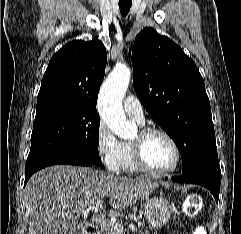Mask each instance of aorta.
<instances>
[{
    "mask_svg": "<svg viewBox=\"0 0 241 234\" xmlns=\"http://www.w3.org/2000/svg\"><path fill=\"white\" fill-rule=\"evenodd\" d=\"M130 77L129 67L116 65L104 81L99 93V113L102 120L123 139L131 138L137 132L136 125L126 118L122 107Z\"/></svg>",
    "mask_w": 241,
    "mask_h": 234,
    "instance_id": "762f6f07",
    "label": "aorta"
}]
</instances>
